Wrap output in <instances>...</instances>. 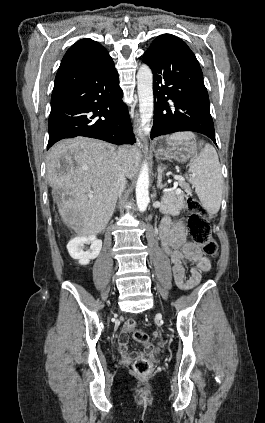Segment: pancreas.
Instances as JSON below:
<instances>
[{
    "label": "pancreas",
    "mask_w": 265,
    "mask_h": 423,
    "mask_svg": "<svg viewBox=\"0 0 265 423\" xmlns=\"http://www.w3.org/2000/svg\"><path fill=\"white\" fill-rule=\"evenodd\" d=\"M180 186L188 190V186L185 183L180 182ZM184 193L181 191L178 193L176 190L167 191L161 201L160 211L163 214H170L177 216L180 210L184 207Z\"/></svg>",
    "instance_id": "pancreas-1"
}]
</instances>
